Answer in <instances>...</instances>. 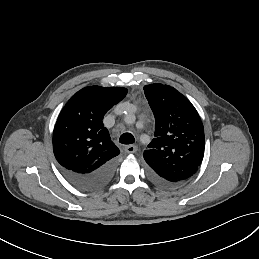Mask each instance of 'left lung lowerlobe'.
<instances>
[{"label":"left lung lower lobe","instance_id":"0a47b994","mask_svg":"<svg viewBox=\"0 0 259 259\" xmlns=\"http://www.w3.org/2000/svg\"><path fill=\"white\" fill-rule=\"evenodd\" d=\"M150 174V173H149ZM150 177L152 178V180L154 181V182H156L157 184H159V185H161V186H163V187H176V186H179V185H181L182 183H170V182H163V181H159V180H157L154 176H152L151 174H150Z\"/></svg>","mask_w":259,"mask_h":259}]
</instances>
